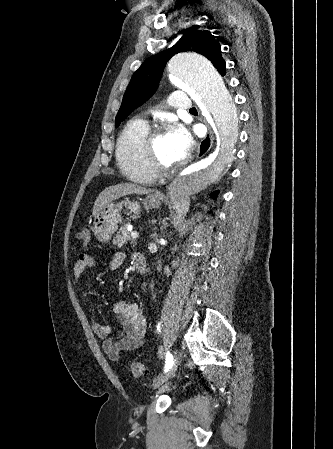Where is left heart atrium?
<instances>
[{
  "label": "left heart atrium",
  "mask_w": 333,
  "mask_h": 449,
  "mask_svg": "<svg viewBox=\"0 0 333 449\" xmlns=\"http://www.w3.org/2000/svg\"><path fill=\"white\" fill-rule=\"evenodd\" d=\"M167 136L177 161H181L191 150L192 138L190 134L184 127L175 125L167 133Z\"/></svg>",
  "instance_id": "obj_1"
}]
</instances>
